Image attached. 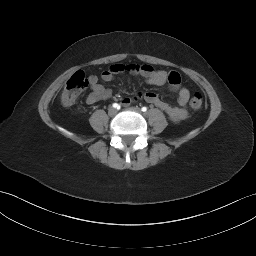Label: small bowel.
I'll return each instance as SVG.
<instances>
[{
  "instance_id": "small-bowel-1",
  "label": "small bowel",
  "mask_w": 256,
  "mask_h": 256,
  "mask_svg": "<svg viewBox=\"0 0 256 256\" xmlns=\"http://www.w3.org/2000/svg\"><path fill=\"white\" fill-rule=\"evenodd\" d=\"M124 72L143 77L149 85L162 86L167 84L172 92L178 94V106H173L163 101L154 92H146L138 93L132 97L121 98L120 102L124 107H129L138 100H144L164 111L172 121L178 122L186 118V105L190 97V92L187 88L181 86L180 75L177 72L155 70L147 64H114L101 73V79L104 82H111L117 74ZM89 85L91 92L85 98L87 104L92 105L100 100H107L112 97V90L101 85L97 76H89Z\"/></svg>"
}]
</instances>
